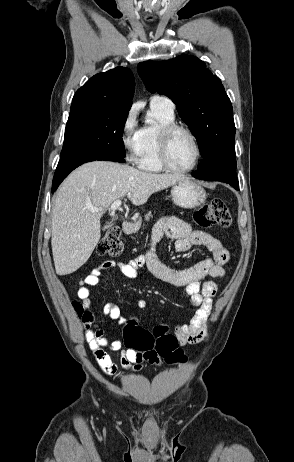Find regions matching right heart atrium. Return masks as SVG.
I'll use <instances>...</instances> for the list:
<instances>
[{"instance_id": "obj_1", "label": "right heart atrium", "mask_w": 294, "mask_h": 462, "mask_svg": "<svg viewBox=\"0 0 294 462\" xmlns=\"http://www.w3.org/2000/svg\"><path fill=\"white\" fill-rule=\"evenodd\" d=\"M120 132L121 145L125 151L127 160L131 163H137L140 141L136 114L133 109H130L124 117Z\"/></svg>"}]
</instances>
